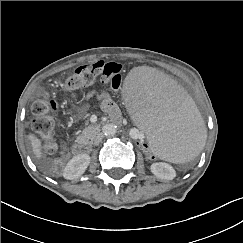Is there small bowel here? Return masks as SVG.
I'll return each mask as SVG.
<instances>
[{
	"mask_svg": "<svg viewBox=\"0 0 243 243\" xmlns=\"http://www.w3.org/2000/svg\"><path fill=\"white\" fill-rule=\"evenodd\" d=\"M92 97H96L101 101L102 108L109 112L115 113L117 111L116 104L114 103L112 97L108 92L105 91H91L84 96V99H90Z\"/></svg>",
	"mask_w": 243,
	"mask_h": 243,
	"instance_id": "c3829d8e",
	"label": "small bowel"
}]
</instances>
